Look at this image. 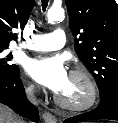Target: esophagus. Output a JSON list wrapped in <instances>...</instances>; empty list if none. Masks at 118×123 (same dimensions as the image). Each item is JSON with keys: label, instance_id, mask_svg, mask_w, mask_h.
<instances>
[{"label": "esophagus", "instance_id": "34e87169", "mask_svg": "<svg viewBox=\"0 0 118 123\" xmlns=\"http://www.w3.org/2000/svg\"><path fill=\"white\" fill-rule=\"evenodd\" d=\"M43 119L46 123H57L55 116L49 112L43 113Z\"/></svg>", "mask_w": 118, "mask_h": 123}]
</instances>
